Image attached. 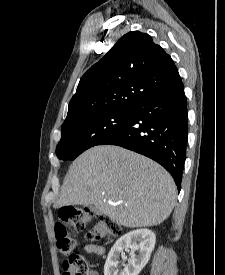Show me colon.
Masks as SVG:
<instances>
[{"label":"colon","mask_w":225,"mask_h":275,"mask_svg":"<svg viewBox=\"0 0 225 275\" xmlns=\"http://www.w3.org/2000/svg\"><path fill=\"white\" fill-rule=\"evenodd\" d=\"M88 225L92 226L87 234V239L90 241H98L120 233L119 226L109 218L88 210L62 208L59 222L54 228L58 250L67 254L75 247V241L68 233L69 227L78 232ZM62 275H90L87 259L78 252L72 253L62 263Z\"/></svg>","instance_id":"1"}]
</instances>
